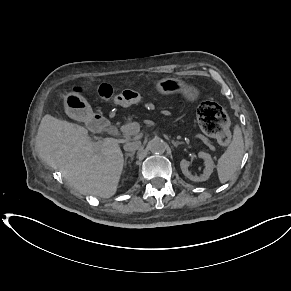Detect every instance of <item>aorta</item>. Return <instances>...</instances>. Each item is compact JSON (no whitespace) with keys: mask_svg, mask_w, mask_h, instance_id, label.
<instances>
[{"mask_svg":"<svg viewBox=\"0 0 291 291\" xmlns=\"http://www.w3.org/2000/svg\"><path fill=\"white\" fill-rule=\"evenodd\" d=\"M166 147L167 144L160 138H154L148 143V148L152 153L162 154Z\"/></svg>","mask_w":291,"mask_h":291,"instance_id":"762f6f07","label":"aorta"}]
</instances>
